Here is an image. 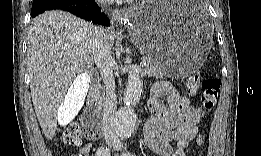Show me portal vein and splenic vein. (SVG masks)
<instances>
[{"instance_id": "18ae733b", "label": "portal vein and splenic vein", "mask_w": 261, "mask_h": 156, "mask_svg": "<svg viewBox=\"0 0 261 156\" xmlns=\"http://www.w3.org/2000/svg\"><path fill=\"white\" fill-rule=\"evenodd\" d=\"M146 64H147V62L144 59H142L141 62H140V65L141 66H146Z\"/></svg>"}]
</instances>
